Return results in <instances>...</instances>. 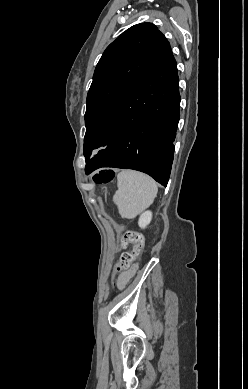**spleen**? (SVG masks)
<instances>
[{"instance_id": "obj_1", "label": "spleen", "mask_w": 248, "mask_h": 389, "mask_svg": "<svg viewBox=\"0 0 248 389\" xmlns=\"http://www.w3.org/2000/svg\"><path fill=\"white\" fill-rule=\"evenodd\" d=\"M118 190L113 196L122 217L133 219L154 201L158 187L150 176L133 170H123L117 176Z\"/></svg>"}]
</instances>
